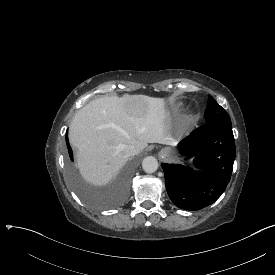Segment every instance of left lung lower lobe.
Wrapping results in <instances>:
<instances>
[{
	"label": "left lung lower lobe",
	"mask_w": 275,
	"mask_h": 275,
	"mask_svg": "<svg viewBox=\"0 0 275 275\" xmlns=\"http://www.w3.org/2000/svg\"><path fill=\"white\" fill-rule=\"evenodd\" d=\"M179 147L185 155L195 157L197 169L162 163L166 190L177 207L200 210L214 203L230 181L236 153L231 124L207 122Z\"/></svg>",
	"instance_id": "1"
}]
</instances>
